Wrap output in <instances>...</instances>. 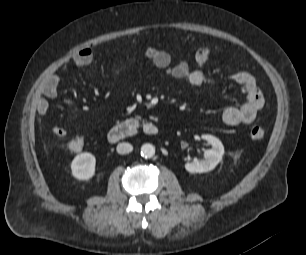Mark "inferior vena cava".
Returning a JSON list of instances; mask_svg holds the SVG:
<instances>
[{"instance_id":"602c4592","label":"inferior vena cava","mask_w":306,"mask_h":255,"mask_svg":"<svg viewBox=\"0 0 306 255\" xmlns=\"http://www.w3.org/2000/svg\"><path fill=\"white\" fill-rule=\"evenodd\" d=\"M116 150L119 154H127L133 150V147L129 143H119Z\"/></svg>"}]
</instances>
